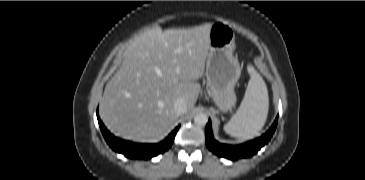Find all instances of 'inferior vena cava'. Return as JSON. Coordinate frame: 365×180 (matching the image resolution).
Returning <instances> with one entry per match:
<instances>
[{
  "label": "inferior vena cava",
  "mask_w": 365,
  "mask_h": 180,
  "mask_svg": "<svg viewBox=\"0 0 365 180\" xmlns=\"http://www.w3.org/2000/svg\"><path fill=\"white\" fill-rule=\"evenodd\" d=\"M174 111L179 116L186 113L187 106L183 98L179 97L174 102Z\"/></svg>",
  "instance_id": "obj_1"
}]
</instances>
